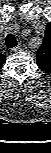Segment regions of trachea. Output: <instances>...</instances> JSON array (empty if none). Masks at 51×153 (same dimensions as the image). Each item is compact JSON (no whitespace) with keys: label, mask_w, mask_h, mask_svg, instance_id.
Returning <instances> with one entry per match:
<instances>
[{"label":"trachea","mask_w":51,"mask_h":153,"mask_svg":"<svg viewBox=\"0 0 51 153\" xmlns=\"http://www.w3.org/2000/svg\"><path fill=\"white\" fill-rule=\"evenodd\" d=\"M5 44L8 48H14L17 46V39L13 34L7 35L5 39Z\"/></svg>","instance_id":"obj_1"}]
</instances>
